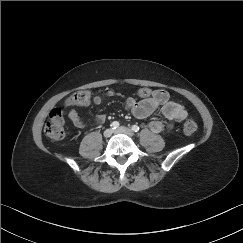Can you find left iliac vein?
I'll return each mask as SVG.
<instances>
[{
    "label": "left iliac vein",
    "instance_id": "1",
    "mask_svg": "<svg viewBox=\"0 0 243 243\" xmlns=\"http://www.w3.org/2000/svg\"><path fill=\"white\" fill-rule=\"evenodd\" d=\"M114 133H124L130 137L134 136V132L125 126L118 127L117 129L114 130Z\"/></svg>",
    "mask_w": 243,
    "mask_h": 243
}]
</instances>
